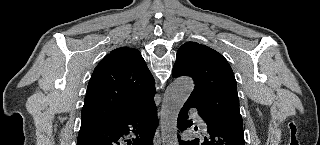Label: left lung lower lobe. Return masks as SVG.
<instances>
[{
  "label": "left lung lower lobe",
  "instance_id": "1",
  "mask_svg": "<svg viewBox=\"0 0 320 145\" xmlns=\"http://www.w3.org/2000/svg\"><path fill=\"white\" fill-rule=\"evenodd\" d=\"M192 107L196 108L192 100L188 99L180 110L177 123L180 131H184L191 126L192 121L188 120V110ZM198 113L207 125L206 130L202 133L203 136L189 141H183L178 137L180 145H245L243 129L216 122L199 111ZM195 130L197 129L195 128Z\"/></svg>",
  "mask_w": 320,
  "mask_h": 145
}]
</instances>
